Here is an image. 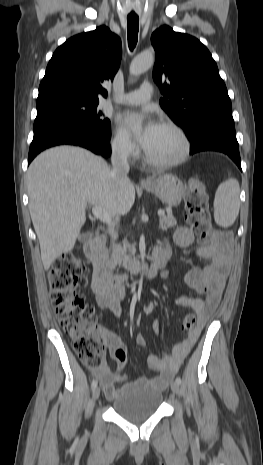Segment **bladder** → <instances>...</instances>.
Masks as SVG:
<instances>
[{
  "label": "bladder",
  "mask_w": 263,
  "mask_h": 465,
  "mask_svg": "<svg viewBox=\"0 0 263 465\" xmlns=\"http://www.w3.org/2000/svg\"><path fill=\"white\" fill-rule=\"evenodd\" d=\"M163 401L160 391L147 386H136L121 394L111 404L112 410L121 418L141 423L154 415Z\"/></svg>",
  "instance_id": "31cf9c89"
}]
</instances>
